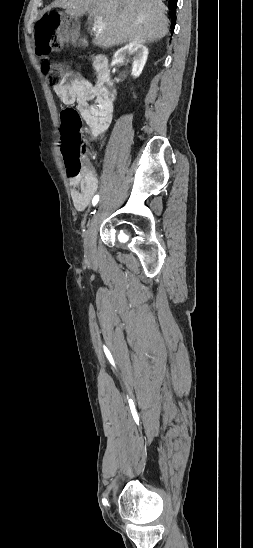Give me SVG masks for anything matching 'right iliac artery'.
I'll list each match as a JSON object with an SVG mask.
<instances>
[{"label": "right iliac artery", "mask_w": 253, "mask_h": 548, "mask_svg": "<svg viewBox=\"0 0 253 548\" xmlns=\"http://www.w3.org/2000/svg\"><path fill=\"white\" fill-rule=\"evenodd\" d=\"M98 201H99V196L98 195L94 196V198L92 200L93 206H95L98 203Z\"/></svg>", "instance_id": "right-iliac-artery-1"}]
</instances>
